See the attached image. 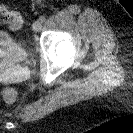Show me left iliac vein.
<instances>
[{"label":"left iliac vein","instance_id":"obj_1","mask_svg":"<svg viewBox=\"0 0 133 133\" xmlns=\"http://www.w3.org/2000/svg\"><path fill=\"white\" fill-rule=\"evenodd\" d=\"M41 27H42V22H41L40 20H36V21L33 23V26H32V28H33V30H34L35 32L39 31V30L41 29Z\"/></svg>","mask_w":133,"mask_h":133}]
</instances>
